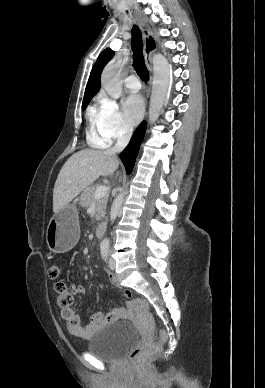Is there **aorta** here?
Wrapping results in <instances>:
<instances>
[{
  "label": "aorta",
  "mask_w": 265,
  "mask_h": 388,
  "mask_svg": "<svg viewBox=\"0 0 265 388\" xmlns=\"http://www.w3.org/2000/svg\"><path fill=\"white\" fill-rule=\"evenodd\" d=\"M124 62H110L103 70L101 76V84L105 91L112 98H118L122 92L120 82V74ZM170 82V65L167 59L161 54L153 56V82L149 106V122L155 123L158 119L163 103L166 97ZM126 191L120 192L114 199L110 211V219L113 221L118 216ZM110 240L105 238L102 242L104 245H109Z\"/></svg>",
  "instance_id": "1"
}]
</instances>
